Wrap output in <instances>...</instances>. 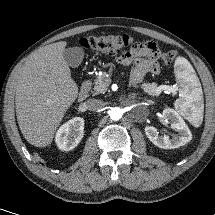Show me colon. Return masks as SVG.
<instances>
[{
    "label": "colon",
    "instance_id": "5ec220e1",
    "mask_svg": "<svg viewBox=\"0 0 215 215\" xmlns=\"http://www.w3.org/2000/svg\"><path fill=\"white\" fill-rule=\"evenodd\" d=\"M80 45L86 50L114 55L135 44L132 37L128 35H101L83 38L80 40ZM176 56L175 51H168L163 54L162 59L165 64L169 65Z\"/></svg>",
    "mask_w": 215,
    "mask_h": 215
}]
</instances>
